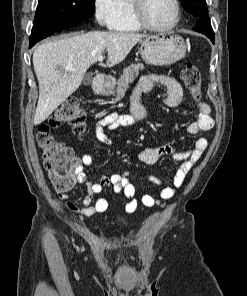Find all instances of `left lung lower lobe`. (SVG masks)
Returning <instances> with one entry per match:
<instances>
[{"instance_id": "1", "label": "left lung lower lobe", "mask_w": 247, "mask_h": 296, "mask_svg": "<svg viewBox=\"0 0 247 296\" xmlns=\"http://www.w3.org/2000/svg\"><path fill=\"white\" fill-rule=\"evenodd\" d=\"M209 18L207 15H203L197 22V26L194 28L197 32L205 34L214 43V33L213 29L209 23Z\"/></svg>"}]
</instances>
